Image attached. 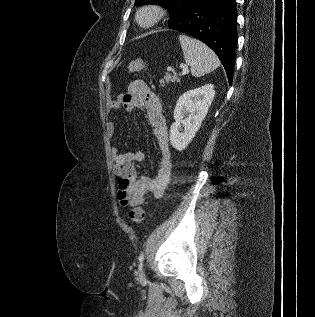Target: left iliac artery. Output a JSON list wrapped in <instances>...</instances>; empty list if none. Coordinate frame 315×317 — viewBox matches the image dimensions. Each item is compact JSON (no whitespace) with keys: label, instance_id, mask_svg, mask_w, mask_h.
<instances>
[{"label":"left iliac artery","instance_id":"left-iliac-artery-1","mask_svg":"<svg viewBox=\"0 0 315 317\" xmlns=\"http://www.w3.org/2000/svg\"><path fill=\"white\" fill-rule=\"evenodd\" d=\"M144 260V253H141L140 256H139V261H140V267H142V262Z\"/></svg>","mask_w":315,"mask_h":317}]
</instances>
